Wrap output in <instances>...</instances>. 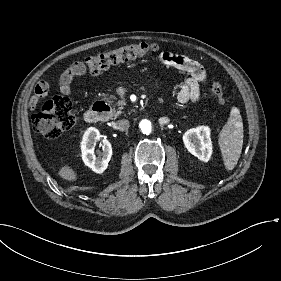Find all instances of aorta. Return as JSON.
Returning <instances> with one entry per match:
<instances>
[{"label": "aorta", "instance_id": "1", "mask_svg": "<svg viewBox=\"0 0 281 281\" xmlns=\"http://www.w3.org/2000/svg\"><path fill=\"white\" fill-rule=\"evenodd\" d=\"M140 128L144 134H150L151 133V122L148 120L141 121Z\"/></svg>", "mask_w": 281, "mask_h": 281}]
</instances>
